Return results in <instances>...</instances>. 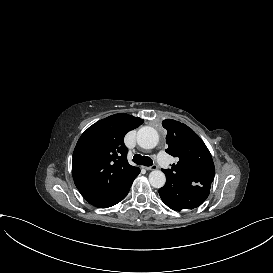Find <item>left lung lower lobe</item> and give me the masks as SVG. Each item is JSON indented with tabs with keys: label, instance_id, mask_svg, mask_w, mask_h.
I'll use <instances>...</instances> for the list:
<instances>
[{
	"label": "left lung lower lobe",
	"instance_id": "left-lung-lower-lobe-1",
	"mask_svg": "<svg viewBox=\"0 0 273 273\" xmlns=\"http://www.w3.org/2000/svg\"><path fill=\"white\" fill-rule=\"evenodd\" d=\"M210 186L190 184L166 175V184L159 189L162 201L171 209H193L208 197Z\"/></svg>",
	"mask_w": 273,
	"mask_h": 273
}]
</instances>
